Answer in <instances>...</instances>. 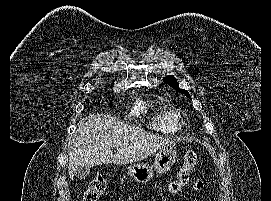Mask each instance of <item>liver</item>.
<instances>
[{
  "label": "liver",
  "mask_w": 271,
  "mask_h": 201,
  "mask_svg": "<svg viewBox=\"0 0 271 201\" xmlns=\"http://www.w3.org/2000/svg\"><path fill=\"white\" fill-rule=\"evenodd\" d=\"M174 143L115 117L93 114L77 125L68 152V174L73 180L77 167L137 162ZM113 148L117 149L116 154Z\"/></svg>",
  "instance_id": "liver-1"
}]
</instances>
